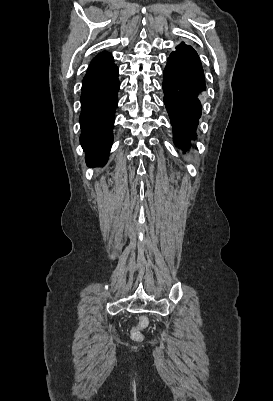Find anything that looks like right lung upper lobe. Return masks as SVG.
Listing matches in <instances>:
<instances>
[{
  "label": "right lung upper lobe",
  "mask_w": 273,
  "mask_h": 401,
  "mask_svg": "<svg viewBox=\"0 0 273 401\" xmlns=\"http://www.w3.org/2000/svg\"><path fill=\"white\" fill-rule=\"evenodd\" d=\"M112 61H113V57L109 53L102 52L92 60L88 69H92L94 67H97L99 65H103V64H106V63H109Z\"/></svg>",
  "instance_id": "1"
}]
</instances>
